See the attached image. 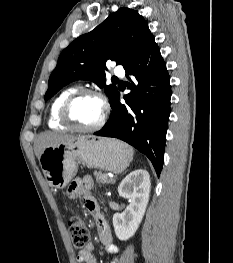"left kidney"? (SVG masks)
I'll use <instances>...</instances> for the list:
<instances>
[{
    "label": "left kidney",
    "mask_w": 233,
    "mask_h": 263,
    "mask_svg": "<svg viewBox=\"0 0 233 263\" xmlns=\"http://www.w3.org/2000/svg\"><path fill=\"white\" fill-rule=\"evenodd\" d=\"M150 187L149 173L143 169L131 172L119 184L118 193L129 200V205L121 214L113 215V226L118 239L128 240L137 231L148 205Z\"/></svg>",
    "instance_id": "obj_1"
}]
</instances>
